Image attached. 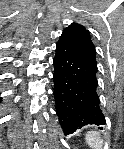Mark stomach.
Listing matches in <instances>:
<instances>
[{
	"instance_id": "1",
	"label": "stomach",
	"mask_w": 124,
	"mask_h": 149,
	"mask_svg": "<svg viewBox=\"0 0 124 149\" xmlns=\"http://www.w3.org/2000/svg\"><path fill=\"white\" fill-rule=\"evenodd\" d=\"M96 134V133H95ZM97 135V134H96ZM87 138V137H86ZM88 138H94V136L91 134L88 136Z\"/></svg>"
}]
</instances>
